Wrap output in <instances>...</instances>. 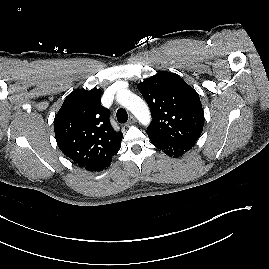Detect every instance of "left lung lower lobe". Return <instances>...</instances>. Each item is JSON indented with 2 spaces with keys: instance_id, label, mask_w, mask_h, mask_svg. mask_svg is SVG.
<instances>
[{
  "instance_id": "left-lung-lower-lobe-1",
  "label": "left lung lower lobe",
  "mask_w": 269,
  "mask_h": 269,
  "mask_svg": "<svg viewBox=\"0 0 269 269\" xmlns=\"http://www.w3.org/2000/svg\"><path fill=\"white\" fill-rule=\"evenodd\" d=\"M150 140L155 147L161 149L168 156L174 158L182 156L185 152L192 149V147L195 145L194 142L173 143V142L157 141L153 139Z\"/></svg>"
}]
</instances>
